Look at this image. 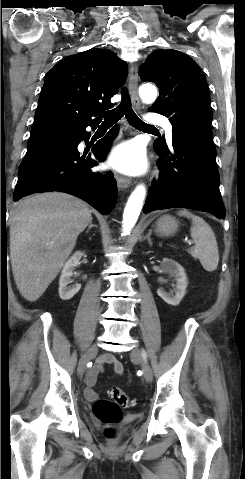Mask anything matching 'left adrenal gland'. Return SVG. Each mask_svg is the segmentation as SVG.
Masks as SVG:
<instances>
[{
  "instance_id": "left-adrenal-gland-1",
  "label": "left adrenal gland",
  "mask_w": 245,
  "mask_h": 479,
  "mask_svg": "<svg viewBox=\"0 0 245 479\" xmlns=\"http://www.w3.org/2000/svg\"><path fill=\"white\" fill-rule=\"evenodd\" d=\"M151 232L152 231L149 230V233L144 237V239H147L150 246H152V241H151V238H150Z\"/></svg>"
}]
</instances>
